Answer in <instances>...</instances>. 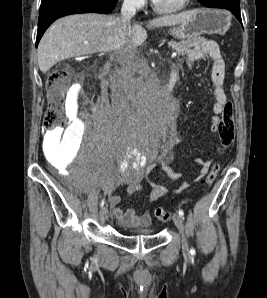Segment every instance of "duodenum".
Masks as SVG:
<instances>
[{
  "label": "duodenum",
  "mask_w": 267,
  "mask_h": 298,
  "mask_svg": "<svg viewBox=\"0 0 267 298\" xmlns=\"http://www.w3.org/2000/svg\"><path fill=\"white\" fill-rule=\"evenodd\" d=\"M176 80H177V72L175 69H172L167 79V82L163 85V86H168V92H171V90L174 88Z\"/></svg>",
  "instance_id": "410a0bca"
}]
</instances>
